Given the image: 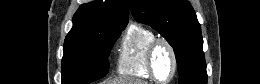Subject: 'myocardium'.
Masks as SVG:
<instances>
[{
    "instance_id": "f54148a6",
    "label": "myocardium",
    "mask_w": 260,
    "mask_h": 84,
    "mask_svg": "<svg viewBox=\"0 0 260 84\" xmlns=\"http://www.w3.org/2000/svg\"><path fill=\"white\" fill-rule=\"evenodd\" d=\"M161 46H165L169 50L171 58H172V71H171L170 76L165 80L158 79L156 72H155V66H154L155 54H156L158 48ZM147 69H148V72H149L151 78L158 83H169L170 81H172L174 79V77L177 73V70H178V57H177V53H176L174 46L166 38L156 37L148 46Z\"/></svg>"
}]
</instances>
